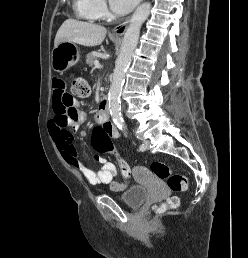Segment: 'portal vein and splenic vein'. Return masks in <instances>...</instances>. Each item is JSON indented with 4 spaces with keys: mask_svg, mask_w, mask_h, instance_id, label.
<instances>
[{
    "mask_svg": "<svg viewBox=\"0 0 248 258\" xmlns=\"http://www.w3.org/2000/svg\"><path fill=\"white\" fill-rule=\"evenodd\" d=\"M94 64H95V67L98 68V69H101V68L103 67V66L99 63L98 60H95Z\"/></svg>",
    "mask_w": 248,
    "mask_h": 258,
    "instance_id": "portal-vein-and-splenic-vein-1",
    "label": "portal vein and splenic vein"
}]
</instances>
